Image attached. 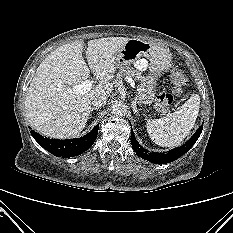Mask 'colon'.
I'll list each match as a JSON object with an SVG mask.
<instances>
[{"label":"colon","instance_id":"1","mask_svg":"<svg viewBox=\"0 0 233 233\" xmlns=\"http://www.w3.org/2000/svg\"><path fill=\"white\" fill-rule=\"evenodd\" d=\"M171 81L173 85V92L177 95L183 93L186 86V75L181 69H176L171 75ZM173 95L168 92H163L157 97L156 107L159 111L163 112L173 104Z\"/></svg>","mask_w":233,"mask_h":233}]
</instances>
